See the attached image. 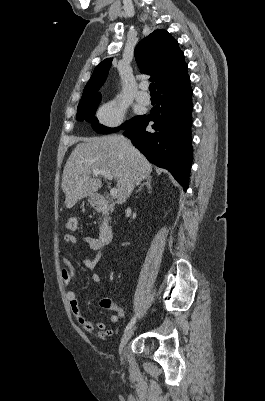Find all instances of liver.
I'll use <instances>...</instances> for the list:
<instances>
[{
  "label": "liver",
  "mask_w": 265,
  "mask_h": 401,
  "mask_svg": "<svg viewBox=\"0 0 265 401\" xmlns=\"http://www.w3.org/2000/svg\"><path fill=\"white\" fill-rule=\"evenodd\" d=\"M63 170L62 190L65 192V207L72 209L80 198L95 194L102 186L101 178H91L92 170H108L117 180L119 205L126 201V186L141 182L152 172V164L129 144L125 136H80Z\"/></svg>",
  "instance_id": "obj_1"
}]
</instances>
